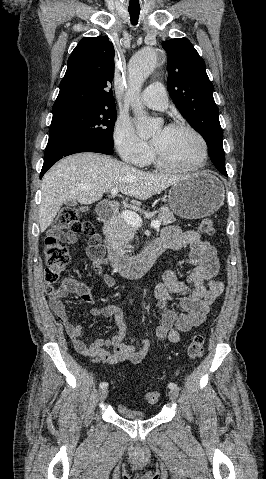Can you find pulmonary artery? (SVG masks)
<instances>
[{"label": "pulmonary artery", "mask_w": 266, "mask_h": 479, "mask_svg": "<svg viewBox=\"0 0 266 479\" xmlns=\"http://www.w3.org/2000/svg\"><path fill=\"white\" fill-rule=\"evenodd\" d=\"M142 102L155 110L166 109L169 101L164 86L159 82L150 84L142 94Z\"/></svg>", "instance_id": "e3ab8cb5"}]
</instances>
